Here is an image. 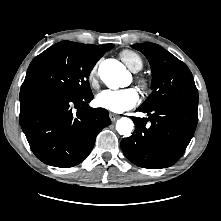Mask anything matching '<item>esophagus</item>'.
<instances>
[{
    "instance_id": "obj_1",
    "label": "esophagus",
    "mask_w": 221,
    "mask_h": 221,
    "mask_svg": "<svg viewBox=\"0 0 221 221\" xmlns=\"http://www.w3.org/2000/svg\"><path fill=\"white\" fill-rule=\"evenodd\" d=\"M109 117L111 119V121H115L117 118H119L120 116L118 114H115V113H110L109 114Z\"/></svg>"
}]
</instances>
